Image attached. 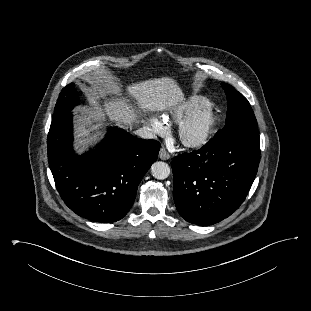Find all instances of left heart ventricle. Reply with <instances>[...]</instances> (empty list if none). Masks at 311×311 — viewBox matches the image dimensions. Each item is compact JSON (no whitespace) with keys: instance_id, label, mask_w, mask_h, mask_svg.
<instances>
[{"instance_id":"obj_1","label":"left heart ventricle","mask_w":311,"mask_h":311,"mask_svg":"<svg viewBox=\"0 0 311 311\" xmlns=\"http://www.w3.org/2000/svg\"><path fill=\"white\" fill-rule=\"evenodd\" d=\"M199 133V128L196 127V128H193L191 131H190V135L194 136V135H197Z\"/></svg>"}]
</instances>
